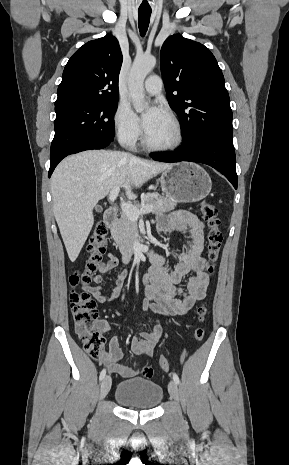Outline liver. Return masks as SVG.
I'll list each match as a JSON object with an SVG mask.
<instances>
[{
	"label": "liver",
	"mask_w": 289,
	"mask_h": 465,
	"mask_svg": "<svg viewBox=\"0 0 289 465\" xmlns=\"http://www.w3.org/2000/svg\"><path fill=\"white\" fill-rule=\"evenodd\" d=\"M173 164L149 161L127 153L88 150L62 160L51 177L53 213L69 259L74 262L94 224L93 208L115 187L135 199L140 188Z\"/></svg>",
	"instance_id": "obj_1"
}]
</instances>
